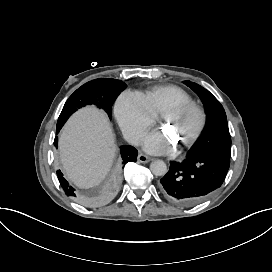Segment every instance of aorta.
Wrapping results in <instances>:
<instances>
[{"label":"aorta","instance_id":"762f6f07","mask_svg":"<svg viewBox=\"0 0 272 272\" xmlns=\"http://www.w3.org/2000/svg\"><path fill=\"white\" fill-rule=\"evenodd\" d=\"M150 170L155 176H164L167 173V166L162 160H155L150 164Z\"/></svg>","mask_w":272,"mask_h":272}]
</instances>
